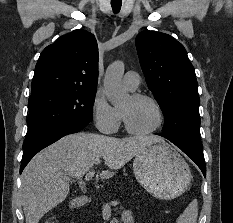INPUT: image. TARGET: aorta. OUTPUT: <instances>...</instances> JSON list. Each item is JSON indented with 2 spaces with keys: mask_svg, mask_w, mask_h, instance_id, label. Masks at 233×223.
<instances>
[{
  "mask_svg": "<svg viewBox=\"0 0 233 223\" xmlns=\"http://www.w3.org/2000/svg\"><path fill=\"white\" fill-rule=\"evenodd\" d=\"M124 74L123 62H114L106 70L104 88L108 102L112 106L124 104L129 98L126 88L122 86V76Z\"/></svg>",
  "mask_w": 233,
  "mask_h": 223,
  "instance_id": "obj_1",
  "label": "aorta"
}]
</instances>
